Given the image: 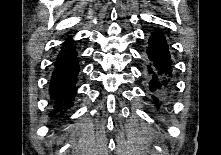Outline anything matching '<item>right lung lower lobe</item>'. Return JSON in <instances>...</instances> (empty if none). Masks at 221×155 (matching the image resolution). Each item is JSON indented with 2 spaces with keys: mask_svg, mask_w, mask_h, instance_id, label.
Returning a JSON list of instances; mask_svg holds the SVG:
<instances>
[{
  "mask_svg": "<svg viewBox=\"0 0 221 155\" xmlns=\"http://www.w3.org/2000/svg\"><path fill=\"white\" fill-rule=\"evenodd\" d=\"M79 72L77 52L72 40L65 42L55 62V69L51 77L50 94L55 101V113L60 111L63 114L69 108L70 102L74 99L77 87L76 76ZM64 104V106H63Z\"/></svg>",
  "mask_w": 221,
  "mask_h": 155,
  "instance_id": "98d812e1",
  "label": "right lung lower lobe"
}]
</instances>
